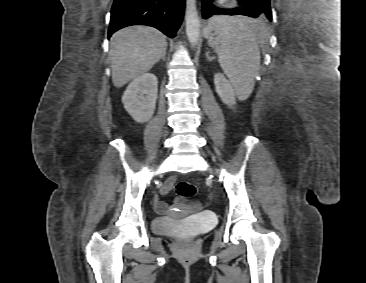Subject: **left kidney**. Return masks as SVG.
<instances>
[{
  "instance_id": "5707ae66",
  "label": "left kidney",
  "mask_w": 366,
  "mask_h": 283,
  "mask_svg": "<svg viewBox=\"0 0 366 283\" xmlns=\"http://www.w3.org/2000/svg\"><path fill=\"white\" fill-rule=\"evenodd\" d=\"M215 89L222 102L229 107L236 104V93L231 83L225 78L222 73H217L214 76Z\"/></svg>"
}]
</instances>
